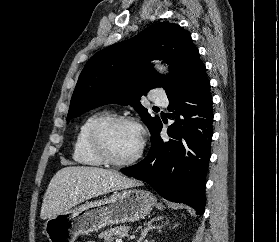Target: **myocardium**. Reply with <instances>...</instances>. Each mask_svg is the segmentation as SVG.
<instances>
[{
    "label": "myocardium",
    "mask_w": 279,
    "mask_h": 242,
    "mask_svg": "<svg viewBox=\"0 0 279 242\" xmlns=\"http://www.w3.org/2000/svg\"><path fill=\"white\" fill-rule=\"evenodd\" d=\"M116 124H130L134 126L139 133V146L137 151L128 159L119 160L112 156L106 143V132L107 130ZM90 142L92 148L97 155L104 161L105 164L115 167H125L134 164L142 155L145 139L144 130L142 125L133 117L124 115H108L100 118L93 125L90 132Z\"/></svg>",
    "instance_id": "myocardium-1"
}]
</instances>
